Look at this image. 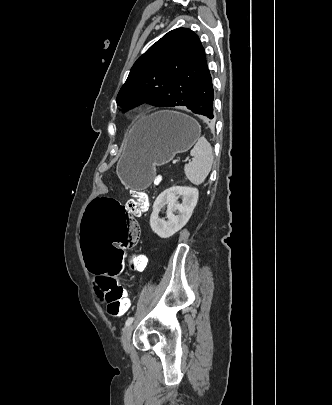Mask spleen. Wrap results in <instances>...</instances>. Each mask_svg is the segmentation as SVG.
<instances>
[{"instance_id":"obj_1","label":"spleen","mask_w":332,"mask_h":405,"mask_svg":"<svg viewBox=\"0 0 332 405\" xmlns=\"http://www.w3.org/2000/svg\"><path fill=\"white\" fill-rule=\"evenodd\" d=\"M190 155L193 156V160L185 165L184 171L191 183L200 185L211 171L214 159L213 149L206 138L202 136L190 151Z\"/></svg>"}]
</instances>
